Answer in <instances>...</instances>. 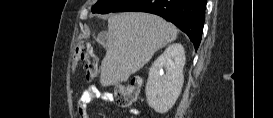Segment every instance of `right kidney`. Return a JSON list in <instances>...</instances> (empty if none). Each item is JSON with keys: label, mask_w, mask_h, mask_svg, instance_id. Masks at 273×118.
<instances>
[{"label": "right kidney", "mask_w": 273, "mask_h": 118, "mask_svg": "<svg viewBox=\"0 0 273 118\" xmlns=\"http://www.w3.org/2000/svg\"><path fill=\"white\" fill-rule=\"evenodd\" d=\"M184 65L185 51L179 43L169 45L152 64L145 93L148 105L156 112L168 111L178 99L184 82Z\"/></svg>", "instance_id": "obj_1"}]
</instances>
